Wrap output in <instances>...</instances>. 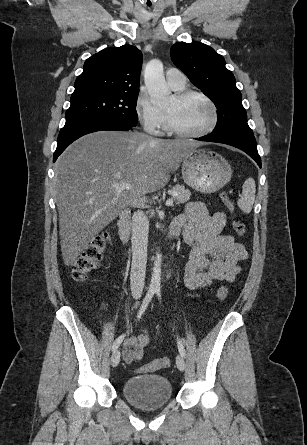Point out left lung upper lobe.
Returning <instances> with one entry per match:
<instances>
[{
  "label": "left lung upper lobe",
  "instance_id": "obj_1",
  "mask_svg": "<svg viewBox=\"0 0 307 445\" xmlns=\"http://www.w3.org/2000/svg\"><path fill=\"white\" fill-rule=\"evenodd\" d=\"M173 63L180 68L217 107L218 120L212 134L240 132L253 134L247 124L242 96L235 77L225 67L223 56L200 42L174 44Z\"/></svg>",
  "mask_w": 307,
  "mask_h": 445
}]
</instances>
